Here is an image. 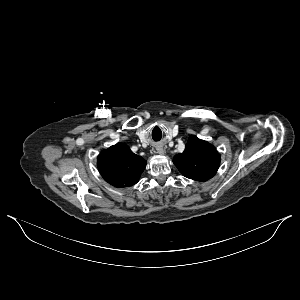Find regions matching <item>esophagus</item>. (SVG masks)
Wrapping results in <instances>:
<instances>
[{
    "mask_svg": "<svg viewBox=\"0 0 300 300\" xmlns=\"http://www.w3.org/2000/svg\"><path fill=\"white\" fill-rule=\"evenodd\" d=\"M156 151L158 154H161V155H163L165 153L163 146L160 144L156 146Z\"/></svg>",
    "mask_w": 300,
    "mask_h": 300,
    "instance_id": "1",
    "label": "esophagus"
}]
</instances>
